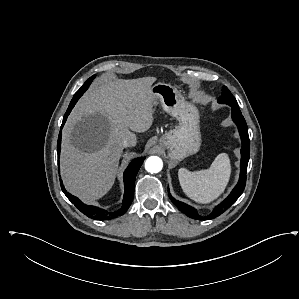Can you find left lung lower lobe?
Instances as JSON below:
<instances>
[{
    "instance_id": "left-lung-lower-lobe-1",
    "label": "left lung lower lobe",
    "mask_w": 299,
    "mask_h": 299,
    "mask_svg": "<svg viewBox=\"0 0 299 299\" xmlns=\"http://www.w3.org/2000/svg\"><path fill=\"white\" fill-rule=\"evenodd\" d=\"M230 106L232 107V119L236 123L239 129V133L242 140L241 163H240L241 171H240V178L238 184L234 187L230 195L222 203L216 206L210 214L206 216L199 215L193 207L183 202H180L178 200H175L170 195V193L168 194L172 202L179 208L180 211L185 213L190 218L196 220H210L218 217L223 212H225L240 197V195L243 193V190L245 188L246 172H247V166H248V161L250 156V140L248 135V127L238 107V104H232Z\"/></svg>"
}]
</instances>
